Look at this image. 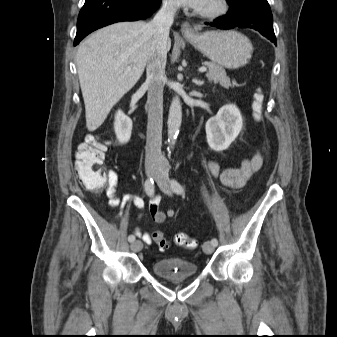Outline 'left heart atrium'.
Segmentation results:
<instances>
[{"label":"left heart atrium","mask_w":337,"mask_h":337,"mask_svg":"<svg viewBox=\"0 0 337 337\" xmlns=\"http://www.w3.org/2000/svg\"><path fill=\"white\" fill-rule=\"evenodd\" d=\"M175 3L181 6L190 7L196 10H202L209 0H173Z\"/></svg>","instance_id":"39dd6f15"}]
</instances>
